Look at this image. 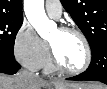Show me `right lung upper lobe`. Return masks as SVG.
<instances>
[{
	"instance_id": "right-lung-upper-lobe-1",
	"label": "right lung upper lobe",
	"mask_w": 107,
	"mask_h": 89,
	"mask_svg": "<svg viewBox=\"0 0 107 89\" xmlns=\"http://www.w3.org/2000/svg\"><path fill=\"white\" fill-rule=\"evenodd\" d=\"M0 16L23 18L22 0H0Z\"/></svg>"
}]
</instances>
